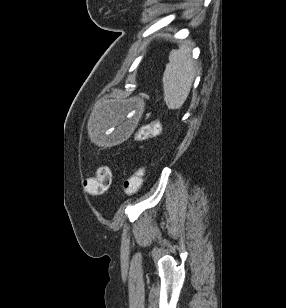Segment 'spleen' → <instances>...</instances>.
Returning <instances> with one entry per match:
<instances>
[{"label":"spleen","mask_w":286,"mask_h":308,"mask_svg":"<svg viewBox=\"0 0 286 308\" xmlns=\"http://www.w3.org/2000/svg\"><path fill=\"white\" fill-rule=\"evenodd\" d=\"M195 76L191 48L182 42L178 50L169 55V63L163 74L164 101L169 109H179L186 101Z\"/></svg>","instance_id":"obj_1"}]
</instances>
